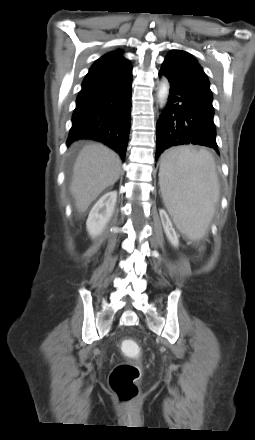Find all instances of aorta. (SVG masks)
<instances>
[{"label": "aorta", "instance_id": "aorta-1", "mask_svg": "<svg viewBox=\"0 0 255 440\" xmlns=\"http://www.w3.org/2000/svg\"><path fill=\"white\" fill-rule=\"evenodd\" d=\"M168 95H169V85L166 81H163L161 82L158 91V98L161 107H163L166 104Z\"/></svg>", "mask_w": 255, "mask_h": 440}]
</instances>
